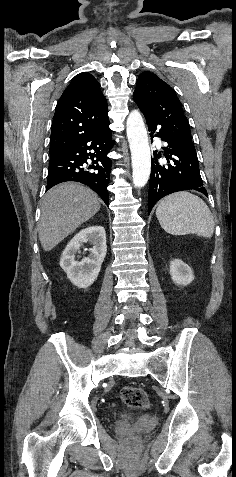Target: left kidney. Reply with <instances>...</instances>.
I'll return each instance as SVG.
<instances>
[{"label":"left kidney","mask_w":236,"mask_h":477,"mask_svg":"<svg viewBox=\"0 0 236 477\" xmlns=\"http://www.w3.org/2000/svg\"><path fill=\"white\" fill-rule=\"evenodd\" d=\"M170 275L173 282L177 285L186 286L194 280L192 269L179 259L170 262Z\"/></svg>","instance_id":"5707ae66"}]
</instances>
